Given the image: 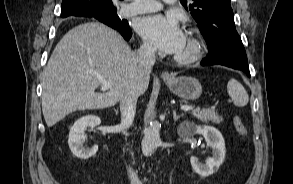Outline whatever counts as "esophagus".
<instances>
[{
	"mask_svg": "<svg viewBox=\"0 0 293 184\" xmlns=\"http://www.w3.org/2000/svg\"><path fill=\"white\" fill-rule=\"evenodd\" d=\"M161 77L164 79V80H167V79H171V74L169 73V72H163L162 74H161Z\"/></svg>",
	"mask_w": 293,
	"mask_h": 184,
	"instance_id": "obj_1",
	"label": "esophagus"
}]
</instances>
